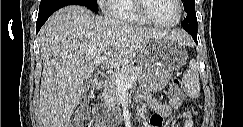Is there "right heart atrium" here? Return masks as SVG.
<instances>
[{"label":"right heart atrium","mask_w":243,"mask_h":127,"mask_svg":"<svg viewBox=\"0 0 243 127\" xmlns=\"http://www.w3.org/2000/svg\"><path fill=\"white\" fill-rule=\"evenodd\" d=\"M98 3L100 4V6L103 8L104 11H107L110 0H99Z\"/></svg>","instance_id":"1"}]
</instances>
